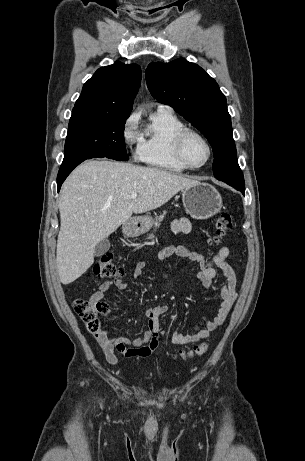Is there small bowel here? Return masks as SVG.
I'll use <instances>...</instances> for the list:
<instances>
[{"label": "small bowel", "instance_id": "obj_1", "mask_svg": "<svg viewBox=\"0 0 305 461\" xmlns=\"http://www.w3.org/2000/svg\"><path fill=\"white\" fill-rule=\"evenodd\" d=\"M191 228L190 221L185 218L172 222V230L176 233H189ZM229 254L230 250L227 246L221 247L211 258H206L203 254L191 251L183 246H167L163 248L158 254L160 260L178 256L197 263L199 266L197 278L207 289H212L218 270L222 272L226 281L218 287L221 303L215 317L209 320L204 327H195L193 331L170 333L164 330L159 322L160 317L168 312L169 307L167 305L148 307L146 309L148 329L142 337H114L106 329L95 334V338L104 352L106 361L111 365H116L118 358L115 352L123 354L126 357H147L159 345L168 344L167 341L160 340L161 337L168 338L175 345L195 343L207 338L213 331L222 326L237 298V276L233 266L228 262ZM145 267L146 263L144 261L138 262L133 271V277L135 279L139 278ZM113 285L118 290H126L128 288V284L121 279L104 281L99 285L93 298L102 300L105 293Z\"/></svg>", "mask_w": 305, "mask_h": 461}]
</instances>
